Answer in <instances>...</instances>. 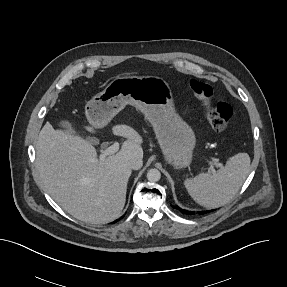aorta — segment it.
I'll use <instances>...</instances> for the list:
<instances>
[{
	"label": "aorta",
	"instance_id": "aorta-1",
	"mask_svg": "<svg viewBox=\"0 0 287 287\" xmlns=\"http://www.w3.org/2000/svg\"><path fill=\"white\" fill-rule=\"evenodd\" d=\"M161 178V173L158 169H150L148 172H147V179L150 181V182H157L159 181Z\"/></svg>",
	"mask_w": 287,
	"mask_h": 287
}]
</instances>
